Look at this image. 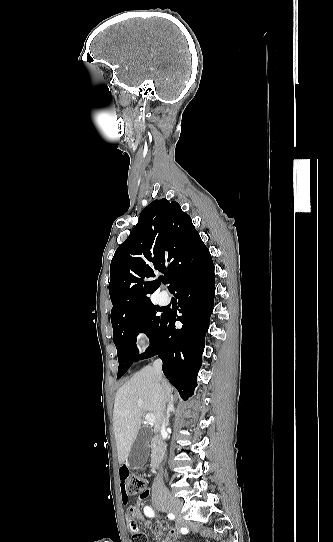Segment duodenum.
<instances>
[{
    "mask_svg": "<svg viewBox=\"0 0 333 542\" xmlns=\"http://www.w3.org/2000/svg\"><path fill=\"white\" fill-rule=\"evenodd\" d=\"M165 457V446L157 438L153 439L151 442V468L156 470L162 463Z\"/></svg>",
    "mask_w": 333,
    "mask_h": 542,
    "instance_id": "obj_1",
    "label": "duodenum"
}]
</instances>
